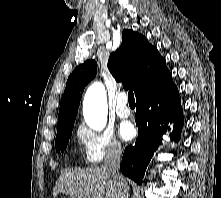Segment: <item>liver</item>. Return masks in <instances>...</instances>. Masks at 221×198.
<instances>
[{
  "label": "liver",
  "mask_w": 221,
  "mask_h": 198,
  "mask_svg": "<svg viewBox=\"0 0 221 198\" xmlns=\"http://www.w3.org/2000/svg\"><path fill=\"white\" fill-rule=\"evenodd\" d=\"M59 193L70 198H127L123 187L103 166L62 171L53 196L56 197Z\"/></svg>",
  "instance_id": "1"
}]
</instances>
